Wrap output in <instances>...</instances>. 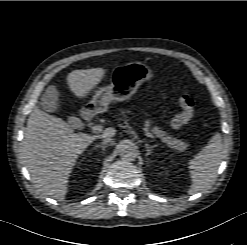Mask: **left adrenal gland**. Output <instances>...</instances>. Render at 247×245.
I'll use <instances>...</instances> for the list:
<instances>
[{"label": "left adrenal gland", "mask_w": 247, "mask_h": 245, "mask_svg": "<svg viewBox=\"0 0 247 245\" xmlns=\"http://www.w3.org/2000/svg\"><path fill=\"white\" fill-rule=\"evenodd\" d=\"M145 147H146V156H149V155H151L152 150L155 147V145L150 146V145H148V143L145 142Z\"/></svg>", "instance_id": "1"}]
</instances>
